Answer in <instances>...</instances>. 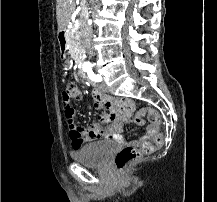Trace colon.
Returning <instances> with one entry per match:
<instances>
[{
	"label": "colon",
	"instance_id": "obj_1",
	"mask_svg": "<svg viewBox=\"0 0 217 202\" xmlns=\"http://www.w3.org/2000/svg\"><path fill=\"white\" fill-rule=\"evenodd\" d=\"M61 100V106L65 115V122L69 129H71L74 125L73 112L70 108V97L71 90L67 86L64 87L61 91L58 92ZM142 115L147 114L148 120L150 123L159 125L161 123V117L157 110L154 107H149L148 110H143L141 112ZM136 126H146L148 123L137 116L135 119ZM157 137L154 138V141H147L143 145V150L134 148L132 146H125L114 158L115 166L121 170V173H124V168L141 158L142 154H151L155 151L156 147L160 145L161 142L164 141L162 137V133H157Z\"/></svg>",
	"mask_w": 217,
	"mask_h": 202
}]
</instances>
